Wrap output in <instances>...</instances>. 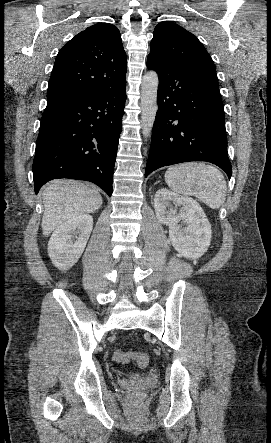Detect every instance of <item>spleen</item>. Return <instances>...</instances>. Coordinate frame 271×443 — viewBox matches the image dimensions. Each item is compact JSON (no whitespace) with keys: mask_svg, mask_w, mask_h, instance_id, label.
Wrapping results in <instances>:
<instances>
[{"mask_svg":"<svg viewBox=\"0 0 271 443\" xmlns=\"http://www.w3.org/2000/svg\"><path fill=\"white\" fill-rule=\"evenodd\" d=\"M164 178L170 190L183 196H195L212 210L225 204L226 182L223 174L214 166L187 162L168 168Z\"/></svg>","mask_w":271,"mask_h":443,"instance_id":"3e777b00","label":"spleen"}]
</instances>
